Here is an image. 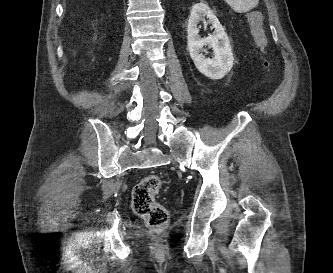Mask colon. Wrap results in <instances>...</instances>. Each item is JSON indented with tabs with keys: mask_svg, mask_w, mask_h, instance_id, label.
Returning a JSON list of instances; mask_svg holds the SVG:
<instances>
[{
	"mask_svg": "<svg viewBox=\"0 0 333 273\" xmlns=\"http://www.w3.org/2000/svg\"><path fill=\"white\" fill-rule=\"evenodd\" d=\"M251 34L255 43L260 47H266L267 37L263 29V16L259 12H251L248 15ZM263 66L271 71L270 60L264 59ZM163 181L158 175H147L132 192L133 210L141 216L148 226L154 230L163 229L169 221L167 209L156 200V195L161 190Z\"/></svg>",
	"mask_w": 333,
	"mask_h": 273,
	"instance_id": "colon-1",
	"label": "colon"
}]
</instances>
